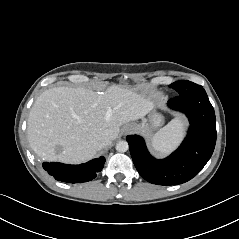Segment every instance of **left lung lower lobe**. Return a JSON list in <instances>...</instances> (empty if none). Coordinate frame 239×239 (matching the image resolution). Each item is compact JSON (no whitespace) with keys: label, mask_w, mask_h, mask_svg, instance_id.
Instances as JSON below:
<instances>
[{"label":"left lung lower lobe","mask_w":239,"mask_h":239,"mask_svg":"<svg viewBox=\"0 0 239 239\" xmlns=\"http://www.w3.org/2000/svg\"><path fill=\"white\" fill-rule=\"evenodd\" d=\"M168 106L186 114L190 127L180 147L165 159L153 158L142 137L129 135L126 140L140 175L157 185H177L189 181L210 159L216 143V118L205 90L178 95Z\"/></svg>","instance_id":"obj_1"}]
</instances>
